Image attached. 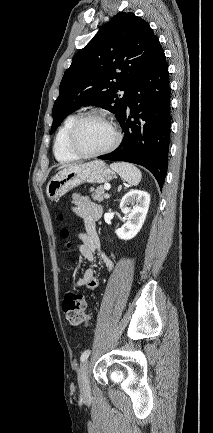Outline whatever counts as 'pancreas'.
Returning a JSON list of instances; mask_svg holds the SVG:
<instances>
[{
	"instance_id": "pancreas-1",
	"label": "pancreas",
	"mask_w": 213,
	"mask_h": 433,
	"mask_svg": "<svg viewBox=\"0 0 213 433\" xmlns=\"http://www.w3.org/2000/svg\"><path fill=\"white\" fill-rule=\"evenodd\" d=\"M90 191L92 192L93 200L97 202H102L106 198L105 189L102 186L97 187L96 190L91 187Z\"/></svg>"
}]
</instances>
